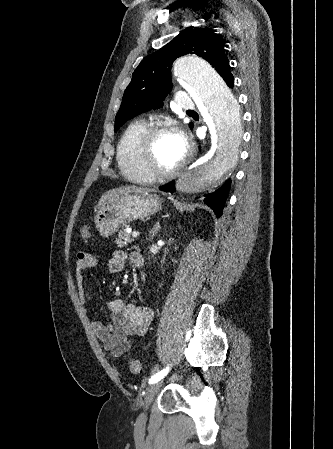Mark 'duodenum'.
<instances>
[{
	"mask_svg": "<svg viewBox=\"0 0 333 449\" xmlns=\"http://www.w3.org/2000/svg\"><path fill=\"white\" fill-rule=\"evenodd\" d=\"M144 263L143 257L140 253H134V264L138 267H142Z\"/></svg>",
	"mask_w": 333,
	"mask_h": 449,
	"instance_id": "obj_1",
	"label": "duodenum"
}]
</instances>
